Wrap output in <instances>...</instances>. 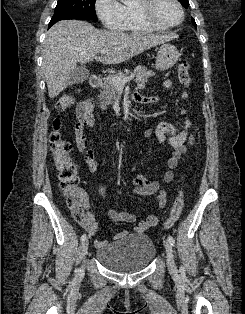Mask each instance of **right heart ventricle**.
<instances>
[{"instance_id": "obj_1", "label": "right heart ventricle", "mask_w": 245, "mask_h": 314, "mask_svg": "<svg viewBox=\"0 0 245 314\" xmlns=\"http://www.w3.org/2000/svg\"><path fill=\"white\" fill-rule=\"evenodd\" d=\"M123 22L119 31L132 33H148L164 30L156 27L153 24L145 22L138 14L136 4L122 5Z\"/></svg>"}]
</instances>
